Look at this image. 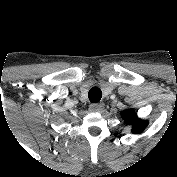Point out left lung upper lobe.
Returning a JSON list of instances; mask_svg holds the SVG:
<instances>
[{
    "instance_id": "left-lung-upper-lobe-1",
    "label": "left lung upper lobe",
    "mask_w": 177,
    "mask_h": 177,
    "mask_svg": "<svg viewBox=\"0 0 177 177\" xmlns=\"http://www.w3.org/2000/svg\"><path fill=\"white\" fill-rule=\"evenodd\" d=\"M122 118L125 123L132 125V133L138 134L144 131L148 122L137 118L133 109H127L122 112Z\"/></svg>"
}]
</instances>
